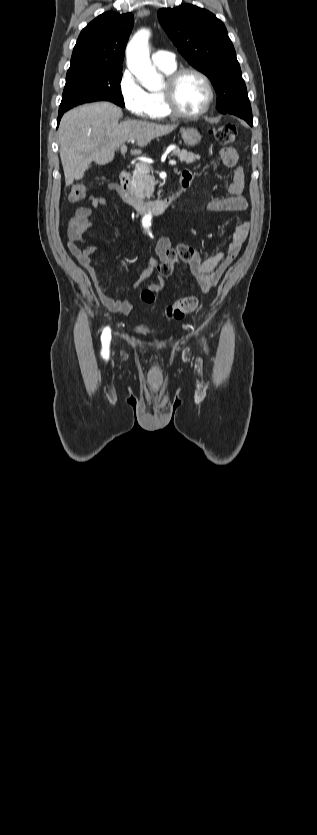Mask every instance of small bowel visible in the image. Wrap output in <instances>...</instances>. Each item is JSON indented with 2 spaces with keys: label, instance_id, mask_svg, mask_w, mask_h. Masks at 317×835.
<instances>
[{
  "label": "small bowel",
  "instance_id": "small-bowel-1",
  "mask_svg": "<svg viewBox=\"0 0 317 835\" xmlns=\"http://www.w3.org/2000/svg\"><path fill=\"white\" fill-rule=\"evenodd\" d=\"M220 157L225 166L230 168L235 167V170L232 179L226 184L228 196L210 201L207 205V210L211 212L245 211L248 207L247 200L243 195L245 173L243 167L237 165L239 159L238 153L234 148L226 147L220 150ZM181 179L189 185L193 179L192 172L188 169L184 170ZM109 188L113 191H118V187L114 183H111ZM87 203L89 206L79 207L69 221V247L77 257L79 263L89 273L102 305L110 312L127 315L133 311L134 303L129 299H114L108 295L100 282L95 266L91 260V257L98 251V246L88 243L84 238L85 232L97 224L92 217V209L106 206L107 199L104 196L91 195L87 199ZM247 234L248 224L242 223L235 228L223 251L206 259H203L196 251L189 259L181 260L188 265L191 274L195 277L202 292H209L218 283L225 270L238 255L246 240ZM79 244L82 245V248L78 247ZM183 246L185 245H173L169 238H161L156 245L157 257L131 283V288H138L151 276L154 270H157V281L150 285V289L159 291L164 283V276L160 273V265L164 262L177 261L178 250Z\"/></svg>",
  "mask_w": 317,
  "mask_h": 835
}]
</instances>
